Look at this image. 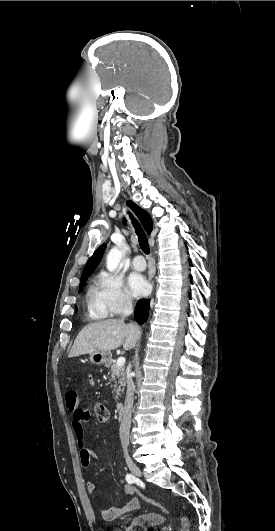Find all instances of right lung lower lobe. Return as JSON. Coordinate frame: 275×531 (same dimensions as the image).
I'll return each instance as SVG.
<instances>
[{
    "label": "right lung lower lobe",
    "instance_id": "1",
    "mask_svg": "<svg viewBox=\"0 0 275 531\" xmlns=\"http://www.w3.org/2000/svg\"><path fill=\"white\" fill-rule=\"evenodd\" d=\"M149 304L150 301L146 299H141L138 301L135 309V319L139 324L146 322L149 314Z\"/></svg>",
    "mask_w": 275,
    "mask_h": 531
}]
</instances>
